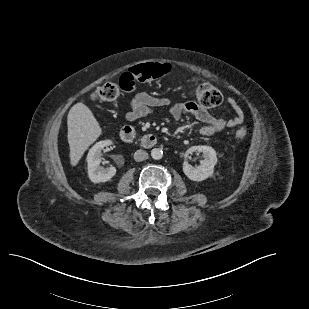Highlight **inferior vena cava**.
<instances>
[{
    "instance_id": "inferior-vena-cava-1",
    "label": "inferior vena cava",
    "mask_w": 309,
    "mask_h": 309,
    "mask_svg": "<svg viewBox=\"0 0 309 309\" xmlns=\"http://www.w3.org/2000/svg\"><path fill=\"white\" fill-rule=\"evenodd\" d=\"M148 159V153L144 150H137L135 153H134V160L137 161V162H141V161H144Z\"/></svg>"
}]
</instances>
